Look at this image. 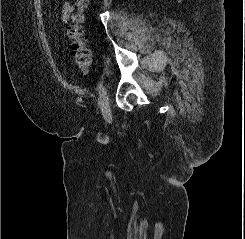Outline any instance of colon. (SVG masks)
<instances>
[{"label": "colon", "instance_id": "obj_1", "mask_svg": "<svg viewBox=\"0 0 245 239\" xmlns=\"http://www.w3.org/2000/svg\"><path fill=\"white\" fill-rule=\"evenodd\" d=\"M89 0H76V12L68 27V36L72 39V55L83 75H87L91 66V52L84 37L83 22Z\"/></svg>", "mask_w": 245, "mask_h": 239}]
</instances>
